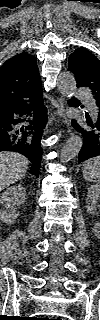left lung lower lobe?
<instances>
[{
    "label": "left lung lower lobe",
    "mask_w": 100,
    "mask_h": 320,
    "mask_svg": "<svg viewBox=\"0 0 100 320\" xmlns=\"http://www.w3.org/2000/svg\"><path fill=\"white\" fill-rule=\"evenodd\" d=\"M76 100L69 101V105L78 106ZM87 126L79 125L75 120L72 121L73 127L82 134L83 146L79 152V162L89 158L100 156V106L98 112L92 121L89 115H86Z\"/></svg>",
    "instance_id": "1"
}]
</instances>
